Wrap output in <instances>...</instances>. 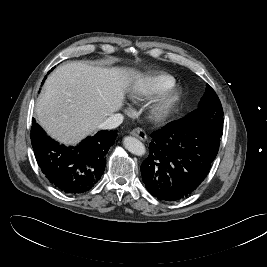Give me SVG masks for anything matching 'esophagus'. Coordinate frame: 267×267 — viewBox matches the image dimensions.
Masks as SVG:
<instances>
[{
    "mask_svg": "<svg viewBox=\"0 0 267 267\" xmlns=\"http://www.w3.org/2000/svg\"><path fill=\"white\" fill-rule=\"evenodd\" d=\"M130 134L142 141H145L147 139V135L145 133L144 130H142L141 128H135L133 130L130 131Z\"/></svg>",
    "mask_w": 267,
    "mask_h": 267,
    "instance_id": "1",
    "label": "esophagus"
}]
</instances>
